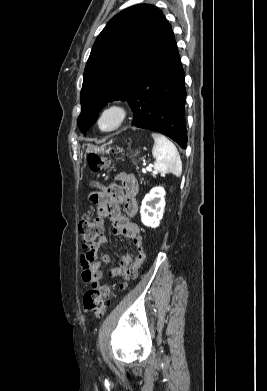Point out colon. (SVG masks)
Listing matches in <instances>:
<instances>
[{
  "label": "colon",
  "instance_id": "1",
  "mask_svg": "<svg viewBox=\"0 0 267 391\" xmlns=\"http://www.w3.org/2000/svg\"><path fill=\"white\" fill-rule=\"evenodd\" d=\"M87 162L92 172H99L108 166V160L97 154L91 153ZM104 229V221L99 216L86 214L79 223V232L82 238V247L85 251L91 250ZM84 308L96 317L102 316L111 304V288L108 285L90 289L84 295Z\"/></svg>",
  "mask_w": 267,
  "mask_h": 391
}]
</instances>
